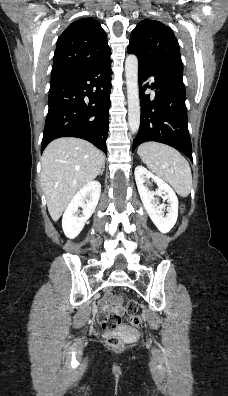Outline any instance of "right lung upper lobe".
I'll return each mask as SVG.
<instances>
[{"mask_svg": "<svg viewBox=\"0 0 228 396\" xmlns=\"http://www.w3.org/2000/svg\"><path fill=\"white\" fill-rule=\"evenodd\" d=\"M105 31L92 18L71 23L57 41L51 77L91 68L109 58Z\"/></svg>", "mask_w": 228, "mask_h": 396, "instance_id": "obj_1", "label": "right lung upper lobe"}]
</instances>
